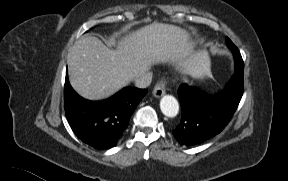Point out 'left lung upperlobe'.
Returning a JSON list of instances; mask_svg holds the SVG:
<instances>
[{
	"mask_svg": "<svg viewBox=\"0 0 288 181\" xmlns=\"http://www.w3.org/2000/svg\"><path fill=\"white\" fill-rule=\"evenodd\" d=\"M228 47L232 50L233 43L229 38L226 39ZM235 64H236V70L234 74V78H243V71H244V63L242 60V57H235Z\"/></svg>",
	"mask_w": 288,
	"mask_h": 181,
	"instance_id": "obj_1",
	"label": "left lung upper lobe"
}]
</instances>
